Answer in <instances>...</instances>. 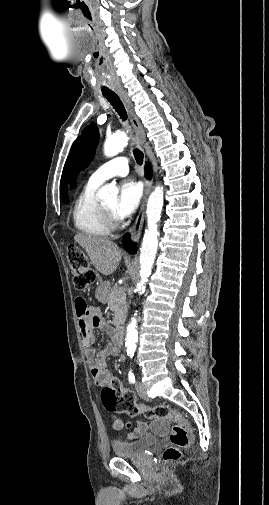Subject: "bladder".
I'll use <instances>...</instances> for the list:
<instances>
[{"label": "bladder", "mask_w": 269, "mask_h": 505, "mask_svg": "<svg viewBox=\"0 0 269 505\" xmlns=\"http://www.w3.org/2000/svg\"><path fill=\"white\" fill-rule=\"evenodd\" d=\"M152 435H142L129 441H115L112 444L114 455L118 458H142L156 443Z\"/></svg>", "instance_id": "obj_1"}]
</instances>
